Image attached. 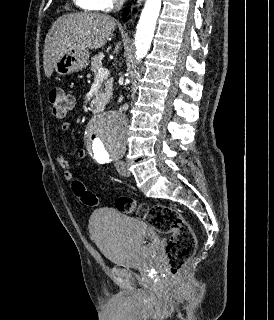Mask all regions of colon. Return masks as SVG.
Instances as JSON below:
<instances>
[{"instance_id":"5ec220e1","label":"colon","mask_w":274,"mask_h":320,"mask_svg":"<svg viewBox=\"0 0 274 320\" xmlns=\"http://www.w3.org/2000/svg\"><path fill=\"white\" fill-rule=\"evenodd\" d=\"M48 99L52 106V113L58 119L64 118L73 105L72 98L61 87L50 88ZM71 187L74 195L80 197L85 204L94 205L97 202L94 195L86 190L80 180H72ZM115 207L126 214L136 213L159 233L169 234L170 241L167 246L169 270L176 274L185 268L195 254L197 240L192 226L183 219L177 209L160 202L138 208L128 197L116 199Z\"/></svg>"}]
</instances>
